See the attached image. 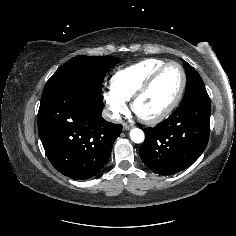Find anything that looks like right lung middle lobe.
I'll list each match as a JSON object with an SVG mask.
<instances>
[{"instance_id":"1","label":"right lung middle lobe","mask_w":236,"mask_h":236,"mask_svg":"<svg viewBox=\"0 0 236 236\" xmlns=\"http://www.w3.org/2000/svg\"><path fill=\"white\" fill-rule=\"evenodd\" d=\"M117 62V57L75 56L51 76L44 87L42 97L59 89L77 87L94 99L103 101V79L106 72Z\"/></svg>"}]
</instances>
